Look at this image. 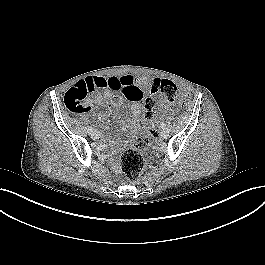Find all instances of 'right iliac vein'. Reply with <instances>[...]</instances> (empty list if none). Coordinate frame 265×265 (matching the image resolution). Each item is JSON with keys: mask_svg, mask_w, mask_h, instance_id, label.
Listing matches in <instances>:
<instances>
[{"mask_svg": "<svg viewBox=\"0 0 265 265\" xmlns=\"http://www.w3.org/2000/svg\"><path fill=\"white\" fill-rule=\"evenodd\" d=\"M91 137H92L93 139H98V138H99V134H98V132H94V133H92V134H91Z\"/></svg>", "mask_w": 265, "mask_h": 265, "instance_id": "63e3f726", "label": "right iliac vein"}]
</instances>
